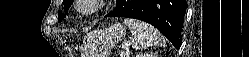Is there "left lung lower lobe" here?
I'll list each match as a JSON object with an SVG mask.
<instances>
[{"label":"left lung lower lobe","instance_id":"1","mask_svg":"<svg viewBox=\"0 0 249 57\" xmlns=\"http://www.w3.org/2000/svg\"><path fill=\"white\" fill-rule=\"evenodd\" d=\"M185 12L186 0H117L116 8L106 17H130L148 22L179 48Z\"/></svg>","mask_w":249,"mask_h":57}]
</instances>
